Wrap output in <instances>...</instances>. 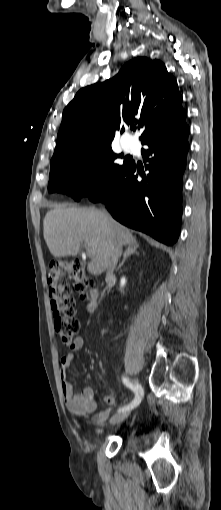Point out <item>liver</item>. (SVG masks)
Listing matches in <instances>:
<instances>
[{"mask_svg": "<svg viewBox=\"0 0 221 510\" xmlns=\"http://www.w3.org/2000/svg\"><path fill=\"white\" fill-rule=\"evenodd\" d=\"M44 239L55 258L76 256L84 243L91 253L88 271L101 275L108 268L110 242L136 243L133 234L104 211L59 205L48 211L43 221Z\"/></svg>", "mask_w": 221, "mask_h": 510, "instance_id": "liver-1", "label": "liver"}]
</instances>
